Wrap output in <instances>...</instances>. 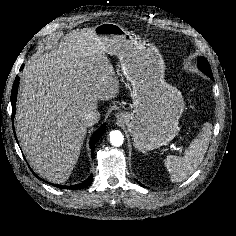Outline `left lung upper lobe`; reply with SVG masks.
Returning <instances> with one entry per match:
<instances>
[{"label":"left lung upper lobe","instance_id":"5c2ea615","mask_svg":"<svg viewBox=\"0 0 236 236\" xmlns=\"http://www.w3.org/2000/svg\"><path fill=\"white\" fill-rule=\"evenodd\" d=\"M198 67L201 71H203L208 76H213L210 65L208 61L204 57H200L198 59Z\"/></svg>","mask_w":236,"mask_h":236}]
</instances>
